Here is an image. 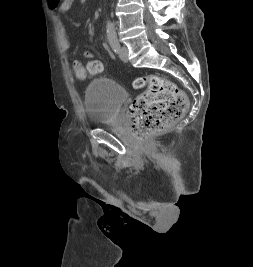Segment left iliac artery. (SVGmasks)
Returning <instances> with one entry per match:
<instances>
[{"mask_svg": "<svg viewBox=\"0 0 253 267\" xmlns=\"http://www.w3.org/2000/svg\"><path fill=\"white\" fill-rule=\"evenodd\" d=\"M107 36H108V40H109V43H110L112 50L115 53H118V51L120 49V44H119L117 34H116L114 27H111V26L107 27Z\"/></svg>", "mask_w": 253, "mask_h": 267, "instance_id": "1", "label": "left iliac artery"}]
</instances>
